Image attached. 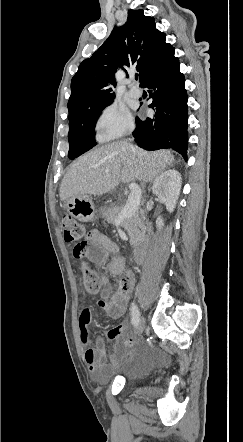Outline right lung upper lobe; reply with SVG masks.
Masks as SVG:
<instances>
[{
  "label": "right lung upper lobe",
  "instance_id": "obj_1",
  "mask_svg": "<svg viewBox=\"0 0 243 442\" xmlns=\"http://www.w3.org/2000/svg\"><path fill=\"white\" fill-rule=\"evenodd\" d=\"M155 25L154 18L145 16L143 10H130L125 25L115 27L99 49L80 64L71 82L69 120L115 98L112 86H116L114 74L119 66L125 70L136 65L142 84L174 50Z\"/></svg>",
  "mask_w": 243,
  "mask_h": 442
}]
</instances>
